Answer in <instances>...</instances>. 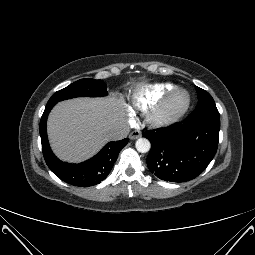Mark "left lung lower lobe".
Wrapping results in <instances>:
<instances>
[{
	"mask_svg": "<svg viewBox=\"0 0 255 255\" xmlns=\"http://www.w3.org/2000/svg\"><path fill=\"white\" fill-rule=\"evenodd\" d=\"M220 120L190 121L149 130L152 144L149 170L164 181L183 182L200 175L213 159L219 141Z\"/></svg>",
	"mask_w": 255,
	"mask_h": 255,
	"instance_id": "0a47b994",
	"label": "left lung lower lobe"
}]
</instances>
